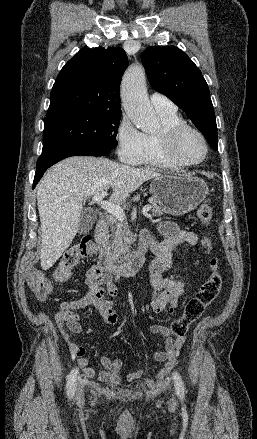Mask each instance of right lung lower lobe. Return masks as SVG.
<instances>
[{
	"mask_svg": "<svg viewBox=\"0 0 257 439\" xmlns=\"http://www.w3.org/2000/svg\"><path fill=\"white\" fill-rule=\"evenodd\" d=\"M111 150H106L98 147L88 146H74L64 147L53 151L42 153L37 161L36 174L33 181V188L43 176V173L53 164L58 161L76 155L86 156H105L110 153Z\"/></svg>",
	"mask_w": 257,
	"mask_h": 439,
	"instance_id": "obj_1",
	"label": "right lung lower lobe"
}]
</instances>
